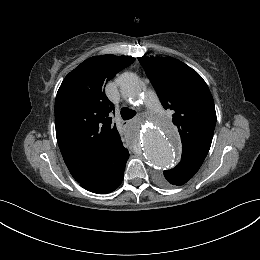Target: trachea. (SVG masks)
<instances>
[{
	"mask_svg": "<svg viewBox=\"0 0 260 260\" xmlns=\"http://www.w3.org/2000/svg\"><path fill=\"white\" fill-rule=\"evenodd\" d=\"M120 113L123 120L131 119L136 115V111L125 107L121 109Z\"/></svg>",
	"mask_w": 260,
	"mask_h": 260,
	"instance_id": "obj_1",
	"label": "trachea"
}]
</instances>
